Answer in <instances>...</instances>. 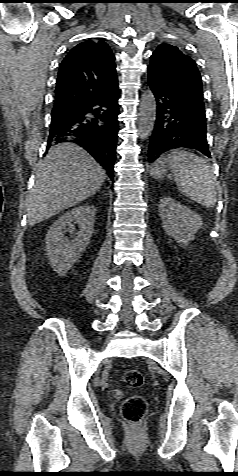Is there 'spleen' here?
<instances>
[{
  "instance_id": "3e777b00",
  "label": "spleen",
  "mask_w": 238,
  "mask_h": 476,
  "mask_svg": "<svg viewBox=\"0 0 238 476\" xmlns=\"http://www.w3.org/2000/svg\"><path fill=\"white\" fill-rule=\"evenodd\" d=\"M167 160L178 189L191 200L212 208L216 203L215 179L207 161L184 150L172 152Z\"/></svg>"
}]
</instances>
